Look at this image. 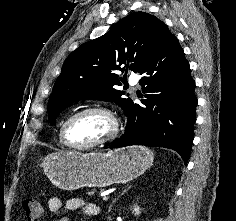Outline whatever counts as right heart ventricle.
Wrapping results in <instances>:
<instances>
[{
    "label": "right heart ventricle",
    "instance_id": "obj_1",
    "mask_svg": "<svg viewBox=\"0 0 236 221\" xmlns=\"http://www.w3.org/2000/svg\"><path fill=\"white\" fill-rule=\"evenodd\" d=\"M61 127H62V126H61ZM61 127H60V129H59V142H60L61 145H64V143H63V141H62V139H61Z\"/></svg>",
    "mask_w": 236,
    "mask_h": 221
}]
</instances>
